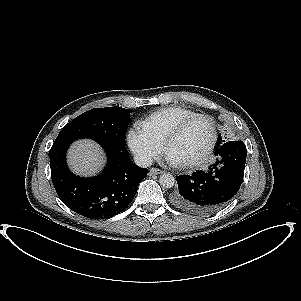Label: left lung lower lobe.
Instances as JSON below:
<instances>
[{
    "label": "left lung lower lobe",
    "instance_id": "1",
    "mask_svg": "<svg viewBox=\"0 0 301 301\" xmlns=\"http://www.w3.org/2000/svg\"><path fill=\"white\" fill-rule=\"evenodd\" d=\"M215 155L217 161L208 171L176 177L173 205L191 213L209 214L231 202L243 180L246 147L242 141L222 143Z\"/></svg>",
    "mask_w": 301,
    "mask_h": 301
}]
</instances>
